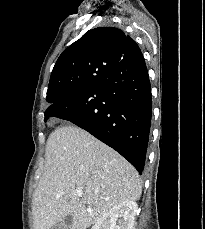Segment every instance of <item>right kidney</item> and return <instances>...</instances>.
I'll return each instance as SVG.
<instances>
[{
  "instance_id": "ca27d5eb",
  "label": "right kidney",
  "mask_w": 205,
  "mask_h": 229,
  "mask_svg": "<svg viewBox=\"0 0 205 229\" xmlns=\"http://www.w3.org/2000/svg\"><path fill=\"white\" fill-rule=\"evenodd\" d=\"M137 209L135 201L121 202L97 219L91 229H133Z\"/></svg>"
}]
</instances>
